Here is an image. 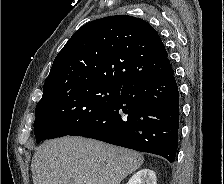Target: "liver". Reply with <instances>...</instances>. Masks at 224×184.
<instances>
[{
  "label": "liver",
  "instance_id": "1",
  "mask_svg": "<svg viewBox=\"0 0 224 184\" xmlns=\"http://www.w3.org/2000/svg\"><path fill=\"white\" fill-rule=\"evenodd\" d=\"M142 154L83 137L45 141L32 158L33 184H120L141 167Z\"/></svg>",
  "mask_w": 224,
  "mask_h": 184
}]
</instances>
